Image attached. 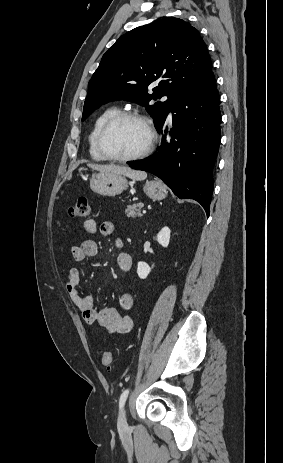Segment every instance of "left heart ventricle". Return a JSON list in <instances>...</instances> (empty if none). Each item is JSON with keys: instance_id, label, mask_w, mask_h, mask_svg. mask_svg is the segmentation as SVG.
<instances>
[{"instance_id": "obj_1", "label": "left heart ventricle", "mask_w": 283, "mask_h": 463, "mask_svg": "<svg viewBox=\"0 0 283 463\" xmlns=\"http://www.w3.org/2000/svg\"><path fill=\"white\" fill-rule=\"evenodd\" d=\"M148 142L144 125L135 119H128L114 126L106 137V147L114 155L127 157L142 151Z\"/></svg>"}]
</instances>
